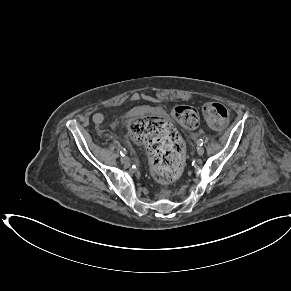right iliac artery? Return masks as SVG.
I'll return each mask as SVG.
<instances>
[{
	"mask_svg": "<svg viewBox=\"0 0 291 291\" xmlns=\"http://www.w3.org/2000/svg\"><path fill=\"white\" fill-rule=\"evenodd\" d=\"M120 154H121V156H125V154H126L125 149H121Z\"/></svg>",
	"mask_w": 291,
	"mask_h": 291,
	"instance_id": "1",
	"label": "right iliac artery"
}]
</instances>
